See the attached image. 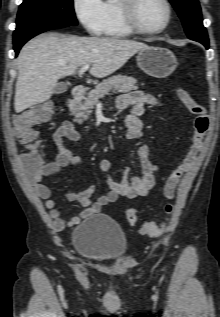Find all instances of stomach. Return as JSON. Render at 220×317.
<instances>
[{"mask_svg": "<svg viewBox=\"0 0 220 317\" xmlns=\"http://www.w3.org/2000/svg\"><path fill=\"white\" fill-rule=\"evenodd\" d=\"M138 67L149 76L165 78L176 69L175 55L167 48L149 46L141 49L137 55Z\"/></svg>", "mask_w": 220, "mask_h": 317, "instance_id": "1", "label": "stomach"}]
</instances>
